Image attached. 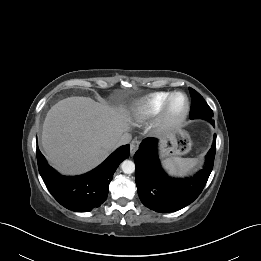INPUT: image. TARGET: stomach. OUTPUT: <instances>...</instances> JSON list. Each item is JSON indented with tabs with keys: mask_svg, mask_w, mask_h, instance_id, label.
Here are the masks:
<instances>
[{
	"mask_svg": "<svg viewBox=\"0 0 261 261\" xmlns=\"http://www.w3.org/2000/svg\"><path fill=\"white\" fill-rule=\"evenodd\" d=\"M189 134L181 129L172 130L160 139V156L175 157L186 154L191 148Z\"/></svg>",
	"mask_w": 261,
	"mask_h": 261,
	"instance_id": "stomach-1",
	"label": "stomach"
}]
</instances>
